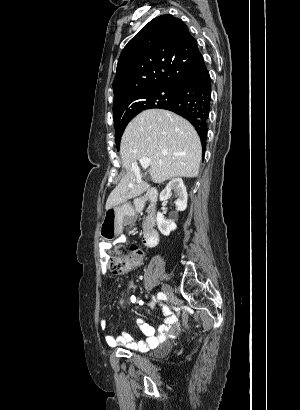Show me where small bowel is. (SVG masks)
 Here are the masks:
<instances>
[{"label":"small bowel","instance_id":"small-bowel-1","mask_svg":"<svg viewBox=\"0 0 300 410\" xmlns=\"http://www.w3.org/2000/svg\"><path fill=\"white\" fill-rule=\"evenodd\" d=\"M102 275L105 276L106 273L103 272ZM131 301L134 303H139L137 297H131ZM118 305L122 310L126 309L123 293H120ZM151 307L155 310L161 311L164 317V322L159 326L157 334L154 327L151 326L146 320H140L138 325L141 332L146 336L145 340L137 341L127 332H121L117 336L106 335L105 341L107 345L110 347H126L132 350L147 351L151 348H155L160 342L165 341L170 336H174L180 332V325L178 324L175 315L167 305L151 304ZM99 327L101 330H107L109 327V321L107 319H101L99 321Z\"/></svg>","mask_w":300,"mask_h":410}]
</instances>
